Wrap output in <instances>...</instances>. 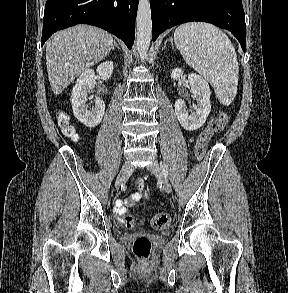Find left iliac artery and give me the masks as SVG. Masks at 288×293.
<instances>
[{"mask_svg":"<svg viewBox=\"0 0 288 293\" xmlns=\"http://www.w3.org/2000/svg\"><path fill=\"white\" fill-rule=\"evenodd\" d=\"M160 165H161L162 172H163L164 176L167 177L168 174H167V170H166L165 164L161 162Z\"/></svg>","mask_w":288,"mask_h":293,"instance_id":"obj_1","label":"left iliac artery"}]
</instances>
